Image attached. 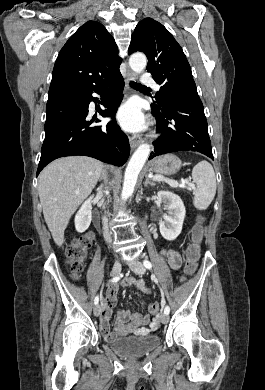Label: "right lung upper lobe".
<instances>
[{
  "instance_id": "cb5924a9",
  "label": "right lung upper lobe",
  "mask_w": 265,
  "mask_h": 390,
  "mask_svg": "<svg viewBox=\"0 0 265 390\" xmlns=\"http://www.w3.org/2000/svg\"><path fill=\"white\" fill-rule=\"evenodd\" d=\"M114 38L95 21L82 25L61 49L52 73L48 101L92 90L119 71Z\"/></svg>"
}]
</instances>
